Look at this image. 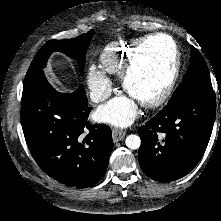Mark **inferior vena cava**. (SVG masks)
<instances>
[{"label": "inferior vena cava", "instance_id": "obj_1", "mask_svg": "<svg viewBox=\"0 0 221 221\" xmlns=\"http://www.w3.org/2000/svg\"><path fill=\"white\" fill-rule=\"evenodd\" d=\"M110 96V92L103 89H96L90 92V99L92 102L98 103L106 100Z\"/></svg>", "mask_w": 221, "mask_h": 221}]
</instances>
